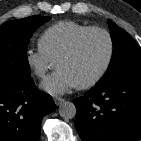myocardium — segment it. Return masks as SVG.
I'll use <instances>...</instances> for the list:
<instances>
[{"instance_id":"1","label":"myocardium","mask_w":141,"mask_h":141,"mask_svg":"<svg viewBox=\"0 0 141 141\" xmlns=\"http://www.w3.org/2000/svg\"><path fill=\"white\" fill-rule=\"evenodd\" d=\"M94 32H99V33H102L106 36L107 41H108V46H109L108 55H107V58L103 64V66L101 67V69L98 71V73L95 76H93L91 79H89L85 82L77 84V87L80 89H87V88H91V87L97 85L104 78V76L107 74V72L112 64V61L114 58V53H115V43H114V39H113L112 34L107 29L102 28V27H98V26L89 27L88 29L81 32L72 41V43L68 46V48L57 59V63H58L61 60L72 56L78 50V48L80 47L83 40L89 34L94 33Z\"/></svg>"}]
</instances>
